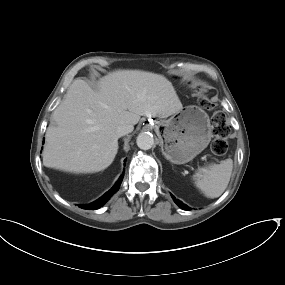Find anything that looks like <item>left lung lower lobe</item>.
<instances>
[{"label": "left lung lower lobe", "mask_w": 285, "mask_h": 285, "mask_svg": "<svg viewBox=\"0 0 285 285\" xmlns=\"http://www.w3.org/2000/svg\"><path fill=\"white\" fill-rule=\"evenodd\" d=\"M172 197H173V196H172ZM173 199H174L175 203H176L180 208H182V209H188L187 205L183 204L181 201L175 199L174 197H173Z\"/></svg>", "instance_id": "left-lung-lower-lobe-1"}]
</instances>
